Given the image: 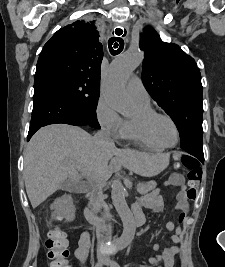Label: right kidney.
Returning <instances> with one entry per match:
<instances>
[{"instance_id":"obj_1","label":"right kidney","mask_w":225,"mask_h":267,"mask_svg":"<svg viewBox=\"0 0 225 267\" xmlns=\"http://www.w3.org/2000/svg\"><path fill=\"white\" fill-rule=\"evenodd\" d=\"M51 209L54 210L52 216L58 221L63 219L66 221H72L75 218V208L70 195H64L55 200V202L51 205Z\"/></svg>"}]
</instances>
